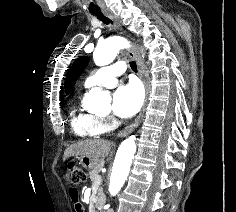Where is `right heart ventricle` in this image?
<instances>
[{
    "instance_id": "obj_1",
    "label": "right heart ventricle",
    "mask_w": 236,
    "mask_h": 212,
    "mask_svg": "<svg viewBox=\"0 0 236 212\" xmlns=\"http://www.w3.org/2000/svg\"><path fill=\"white\" fill-rule=\"evenodd\" d=\"M71 126L81 138L96 137L105 132L102 118L74 105L71 110Z\"/></svg>"
}]
</instances>
